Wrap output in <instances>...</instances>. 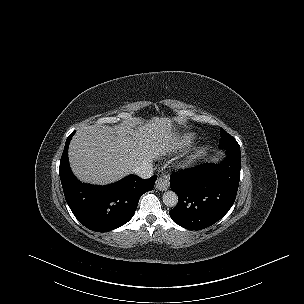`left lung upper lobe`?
Masks as SVG:
<instances>
[{
    "instance_id": "left-lung-upper-lobe-1",
    "label": "left lung upper lobe",
    "mask_w": 304,
    "mask_h": 304,
    "mask_svg": "<svg viewBox=\"0 0 304 304\" xmlns=\"http://www.w3.org/2000/svg\"><path fill=\"white\" fill-rule=\"evenodd\" d=\"M220 142H219V147L223 149H228V148H235L239 149L240 146L237 143V141L227 132H225L222 128L220 131Z\"/></svg>"
}]
</instances>
